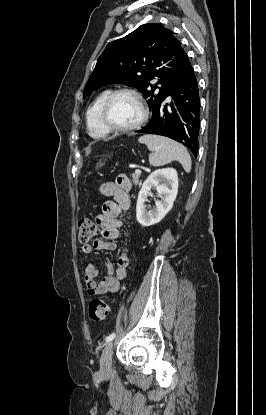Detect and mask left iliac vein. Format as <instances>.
<instances>
[{
    "label": "left iliac vein",
    "mask_w": 266,
    "mask_h": 415,
    "mask_svg": "<svg viewBox=\"0 0 266 415\" xmlns=\"http://www.w3.org/2000/svg\"><path fill=\"white\" fill-rule=\"evenodd\" d=\"M112 353H113V343L108 342L104 347L101 357H100V370L103 375H107L111 369L112 363Z\"/></svg>",
    "instance_id": "1"
}]
</instances>
